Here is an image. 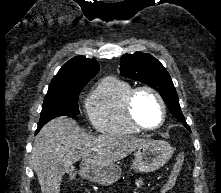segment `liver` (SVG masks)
<instances>
[{
  "label": "liver",
  "instance_id": "1",
  "mask_svg": "<svg viewBox=\"0 0 221 193\" xmlns=\"http://www.w3.org/2000/svg\"><path fill=\"white\" fill-rule=\"evenodd\" d=\"M147 142L127 135L92 136L75 120L58 117L39 131L31 154L32 168L42 193H59L63 175L75 162L82 159L97 166L114 164Z\"/></svg>",
  "mask_w": 221,
  "mask_h": 193
}]
</instances>
